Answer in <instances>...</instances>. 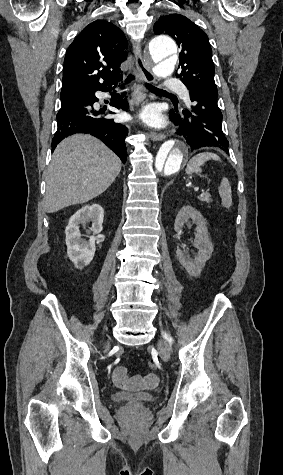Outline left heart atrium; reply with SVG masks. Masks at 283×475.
I'll use <instances>...</instances> for the list:
<instances>
[{
	"mask_svg": "<svg viewBox=\"0 0 283 475\" xmlns=\"http://www.w3.org/2000/svg\"><path fill=\"white\" fill-rule=\"evenodd\" d=\"M140 120L148 127L160 128L165 120L156 105H148L139 114Z\"/></svg>",
	"mask_w": 283,
	"mask_h": 475,
	"instance_id": "obj_1",
	"label": "left heart atrium"
}]
</instances>
